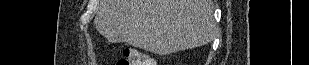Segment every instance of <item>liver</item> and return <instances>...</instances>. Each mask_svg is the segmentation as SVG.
<instances>
[{"label":"liver","mask_w":309,"mask_h":65,"mask_svg":"<svg viewBox=\"0 0 309 65\" xmlns=\"http://www.w3.org/2000/svg\"><path fill=\"white\" fill-rule=\"evenodd\" d=\"M212 0H98L97 31L111 43H127L159 55L210 43Z\"/></svg>","instance_id":"liver-1"}]
</instances>
